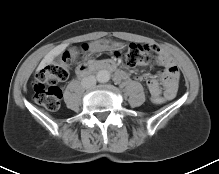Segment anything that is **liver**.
Masks as SVG:
<instances>
[{"instance_id":"6515ba94","label":"liver","mask_w":219,"mask_h":174,"mask_svg":"<svg viewBox=\"0 0 219 174\" xmlns=\"http://www.w3.org/2000/svg\"><path fill=\"white\" fill-rule=\"evenodd\" d=\"M67 45L63 44V45H59L57 47H55L53 50H51L45 57L44 59L41 61V63L38 66V70L42 69L44 66H46V64H48L52 58L56 55H59L60 53L63 52V50L66 48Z\"/></svg>"}]
</instances>
